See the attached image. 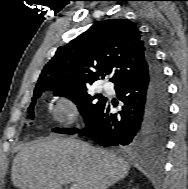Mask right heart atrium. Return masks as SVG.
Returning <instances> with one entry per match:
<instances>
[{
  "label": "right heart atrium",
  "instance_id": "obj_1",
  "mask_svg": "<svg viewBox=\"0 0 188 189\" xmlns=\"http://www.w3.org/2000/svg\"><path fill=\"white\" fill-rule=\"evenodd\" d=\"M57 118L64 122H73L78 116V109L72 101H60L55 109Z\"/></svg>",
  "mask_w": 188,
  "mask_h": 189
}]
</instances>
